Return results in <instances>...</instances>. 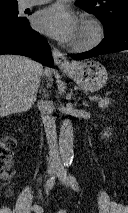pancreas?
<instances>
[{
    "mask_svg": "<svg viewBox=\"0 0 128 213\" xmlns=\"http://www.w3.org/2000/svg\"><path fill=\"white\" fill-rule=\"evenodd\" d=\"M95 99L98 100V105L101 108H108L112 103V100H110L109 98L97 97Z\"/></svg>",
    "mask_w": 128,
    "mask_h": 213,
    "instance_id": "obj_1",
    "label": "pancreas"
}]
</instances>
